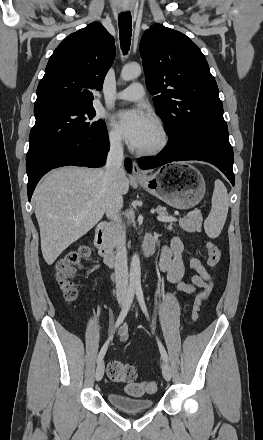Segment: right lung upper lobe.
I'll list each match as a JSON object with an SVG mask.
<instances>
[{
  "label": "right lung upper lobe",
  "instance_id": "right-lung-upper-lobe-1",
  "mask_svg": "<svg viewBox=\"0 0 263 440\" xmlns=\"http://www.w3.org/2000/svg\"><path fill=\"white\" fill-rule=\"evenodd\" d=\"M115 54L114 38L97 22L70 34L48 61L34 108L92 104V90L102 89Z\"/></svg>",
  "mask_w": 263,
  "mask_h": 440
}]
</instances>
